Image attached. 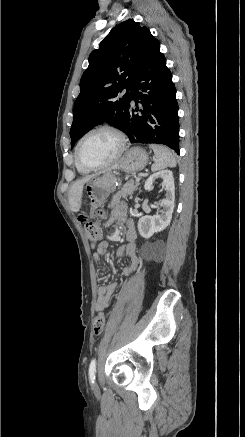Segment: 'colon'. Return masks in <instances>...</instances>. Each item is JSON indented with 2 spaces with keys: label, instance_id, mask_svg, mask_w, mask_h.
<instances>
[{
  "label": "colon",
  "instance_id": "colon-1",
  "mask_svg": "<svg viewBox=\"0 0 245 437\" xmlns=\"http://www.w3.org/2000/svg\"><path fill=\"white\" fill-rule=\"evenodd\" d=\"M96 216L99 219L104 218L105 211L102 209L98 210L96 212ZM84 228L89 242L91 243L92 246H94L100 239V235H101L99 222L88 220V222L84 224ZM105 325H106V316L104 313L100 312L97 314L94 320V334L96 336H99L103 332Z\"/></svg>",
  "mask_w": 245,
  "mask_h": 437
}]
</instances>
